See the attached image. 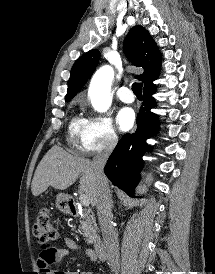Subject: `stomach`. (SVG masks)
Wrapping results in <instances>:
<instances>
[{
  "label": "stomach",
  "instance_id": "0dacf381",
  "mask_svg": "<svg viewBox=\"0 0 215 274\" xmlns=\"http://www.w3.org/2000/svg\"><path fill=\"white\" fill-rule=\"evenodd\" d=\"M68 198L69 196L63 193H60L57 195L56 198V206L58 209L62 212H67L68 211Z\"/></svg>",
  "mask_w": 215,
  "mask_h": 274
}]
</instances>
